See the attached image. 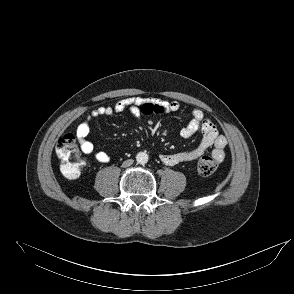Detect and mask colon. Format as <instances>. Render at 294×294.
<instances>
[{
    "mask_svg": "<svg viewBox=\"0 0 294 294\" xmlns=\"http://www.w3.org/2000/svg\"><path fill=\"white\" fill-rule=\"evenodd\" d=\"M139 112L144 115L163 113L162 109L152 103H144L139 107ZM56 154L61 161V172L69 178H77L83 167L80 157V146L72 134H66L59 139L56 145ZM217 160L210 156H204L198 163V172L203 177L214 174L217 170Z\"/></svg>",
    "mask_w": 294,
    "mask_h": 294,
    "instance_id": "5ec220e1",
    "label": "colon"
}]
</instances>
